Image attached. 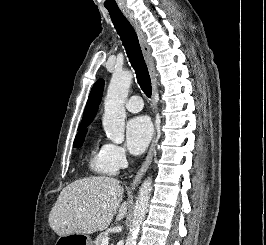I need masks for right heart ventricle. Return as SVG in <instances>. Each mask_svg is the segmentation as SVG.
<instances>
[{
    "label": "right heart ventricle",
    "instance_id": "right-heart-ventricle-1",
    "mask_svg": "<svg viewBox=\"0 0 266 245\" xmlns=\"http://www.w3.org/2000/svg\"><path fill=\"white\" fill-rule=\"evenodd\" d=\"M89 168L100 176L110 177L116 174V169L109 163L103 146L94 143L89 148Z\"/></svg>",
    "mask_w": 266,
    "mask_h": 245
}]
</instances>
